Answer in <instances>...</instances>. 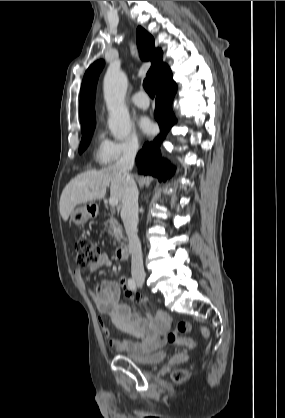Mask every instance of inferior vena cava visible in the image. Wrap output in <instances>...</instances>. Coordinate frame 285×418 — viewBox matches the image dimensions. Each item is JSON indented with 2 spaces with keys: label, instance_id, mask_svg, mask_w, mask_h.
I'll list each match as a JSON object with an SVG mask.
<instances>
[{
  "label": "inferior vena cava",
  "instance_id": "1",
  "mask_svg": "<svg viewBox=\"0 0 285 418\" xmlns=\"http://www.w3.org/2000/svg\"><path fill=\"white\" fill-rule=\"evenodd\" d=\"M138 150L137 144H129L122 157L116 162L117 171L124 176L122 195L121 218L128 236L131 249V273L132 275H144L141 243L137 235L138 225V188L130 175L134 166L135 156Z\"/></svg>",
  "mask_w": 285,
  "mask_h": 418
}]
</instances>
